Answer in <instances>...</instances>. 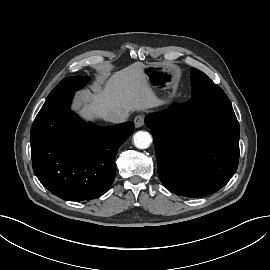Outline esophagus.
<instances>
[{"label": "esophagus", "mask_w": 270, "mask_h": 270, "mask_svg": "<svg viewBox=\"0 0 270 270\" xmlns=\"http://www.w3.org/2000/svg\"><path fill=\"white\" fill-rule=\"evenodd\" d=\"M145 123V118L143 115H138L134 119V124L136 128H140L144 125Z\"/></svg>", "instance_id": "1"}]
</instances>
